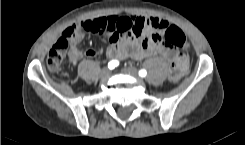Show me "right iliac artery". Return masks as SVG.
Listing matches in <instances>:
<instances>
[{"label": "right iliac artery", "mask_w": 245, "mask_h": 145, "mask_svg": "<svg viewBox=\"0 0 245 145\" xmlns=\"http://www.w3.org/2000/svg\"><path fill=\"white\" fill-rule=\"evenodd\" d=\"M119 65V62L117 60H111L109 63H108V68L109 69H113L115 68L116 66Z\"/></svg>", "instance_id": "obj_1"}]
</instances>
